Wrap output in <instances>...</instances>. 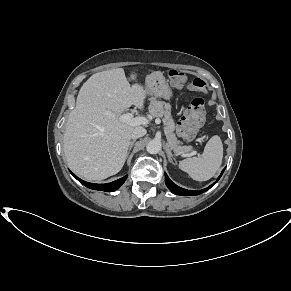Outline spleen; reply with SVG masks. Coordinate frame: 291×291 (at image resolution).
Instances as JSON below:
<instances>
[{
    "label": "spleen",
    "instance_id": "1",
    "mask_svg": "<svg viewBox=\"0 0 291 291\" xmlns=\"http://www.w3.org/2000/svg\"><path fill=\"white\" fill-rule=\"evenodd\" d=\"M223 159V144L218 135L206 144L201 156L187 158L179 162V168L196 181H207L219 170Z\"/></svg>",
    "mask_w": 291,
    "mask_h": 291
}]
</instances>
